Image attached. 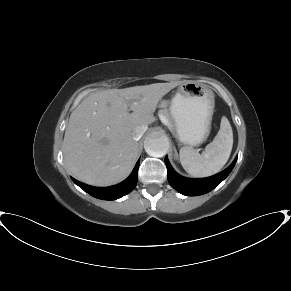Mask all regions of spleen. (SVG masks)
<instances>
[{"mask_svg":"<svg viewBox=\"0 0 291 291\" xmlns=\"http://www.w3.org/2000/svg\"><path fill=\"white\" fill-rule=\"evenodd\" d=\"M233 131L229 120L221 119L220 129L213 141L199 154L191 147L180 149V162L184 170L194 177H208L218 173L230 157Z\"/></svg>","mask_w":291,"mask_h":291,"instance_id":"obj_1","label":"spleen"}]
</instances>
